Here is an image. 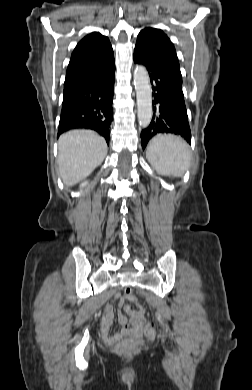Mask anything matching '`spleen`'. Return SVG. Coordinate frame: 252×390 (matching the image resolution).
<instances>
[{
	"instance_id": "3e777b00",
	"label": "spleen",
	"mask_w": 252,
	"mask_h": 390,
	"mask_svg": "<svg viewBox=\"0 0 252 390\" xmlns=\"http://www.w3.org/2000/svg\"><path fill=\"white\" fill-rule=\"evenodd\" d=\"M147 158L155 170L166 176H181L190 161L187 143L173 135H157L147 149Z\"/></svg>"
}]
</instances>
